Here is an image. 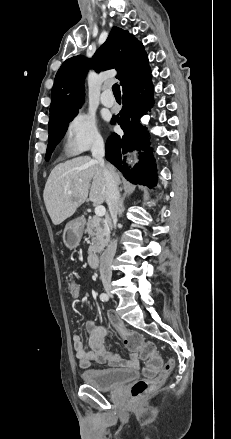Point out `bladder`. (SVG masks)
I'll list each match as a JSON object with an SVG mask.
<instances>
[{"label":"bladder","instance_id":"obj_1","mask_svg":"<svg viewBox=\"0 0 231 439\" xmlns=\"http://www.w3.org/2000/svg\"><path fill=\"white\" fill-rule=\"evenodd\" d=\"M138 372L125 369L86 370L82 372V381L98 390H114L137 378Z\"/></svg>","mask_w":231,"mask_h":439}]
</instances>
